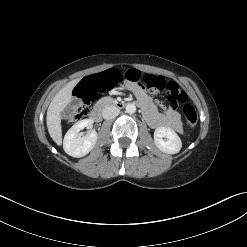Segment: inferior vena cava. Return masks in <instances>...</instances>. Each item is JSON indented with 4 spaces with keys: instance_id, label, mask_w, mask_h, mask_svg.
Here are the masks:
<instances>
[{
    "instance_id": "602c4592",
    "label": "inferior vena cava",
    "mask_w": 247,
    "mask_h": 247,
    "mask_svg": "<svg viewBox=\"0 0 247 247\" xmlns=\"http://www.w3.org/2000/svg\"><path fill=\"white\" fill-rule=\"evenodd\" d=\"M119 113H120L119 108H117L115 106H106L103 109L102 116L104 119L110 120V119L117 117L119 115Z\"/></svg>"
}]
</instances>
